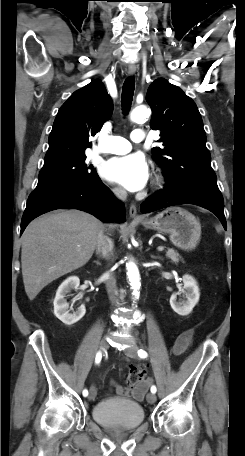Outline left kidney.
<instances>
[{
	"mask_svg": "<svg viewBox=\"0 0 245 456\" xmlns=\"http://www.w3.org/2000/svg\"><path fill=\"white\" fill-rule=\"evenodd\" d=\"M183 289L180 291L185 294V299L177 301V294L175 293L170 297L171 308L179 315L186 316L190 314L199 301L200 292L196 280L189 276H183Z\"/></svg>",
	"mask_w": 245,
	"mask_h": 456,
	"instance_id": "5707ae66",
	"label": "left kidney"
}]
</instances>
